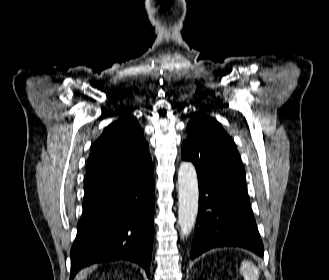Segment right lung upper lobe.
<instances>
[{
    "label": "right lung upper lobe",
    "mask_w": 329,
    "mask_h": 280,
    "mask_svg": "<svg viewBox=\"0 0 329 280\" xmlns=\"http://www.w3.org/2000/svg\"><path fill=\"white\" fill-rule=\"evenodd\" d=\"M152 169L143 130L136 117L126 114L106 127L91 146L87 185L113 175L142 174Z\"/></svg>",
    "instance_id": "cb5924a9"
}]
</instances>
